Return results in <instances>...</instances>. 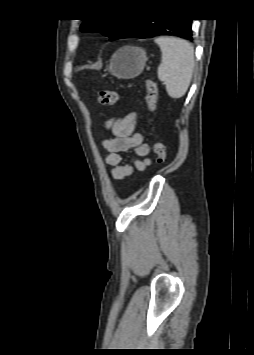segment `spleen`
<instances>
[{
    "label": "spleen",
    "mask_w": 254,
    "mask_h": 355,
    "mask_svg": "<svg viewBox=\"0 0 254 355\" xmlns=\"http://www.w3.org/2000/svg\"><path fill=\"white\" fill-rule=\"evenodd\" d=\"M155 42L162 52V61L157 71L158 79L163 82L171 98H181L187 92L193 75V46L175 37H159Z\"/></svg>",
    "instance_id": "spleen-1"
}]
</instances>
